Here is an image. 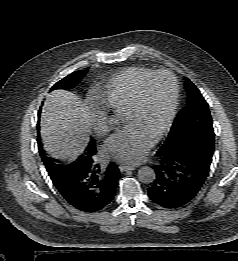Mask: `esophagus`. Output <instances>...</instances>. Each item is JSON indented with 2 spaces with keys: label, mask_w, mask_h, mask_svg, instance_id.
<instances>
[{
  "label": "esophagus",
  "mask_w": 238,
  "mask_h": 261,
  "mask_svg": "<svg viewBox=\"0 0 238 261\" xmlns=\"http://www.w3.org/2000/svg\"><path fill=\"white\" fill-rule=\"evenodd\" d=\"M119 169L121 172H124V171H128V170H134L135 169V166L133 165H128V164H121L119 166Z\"/></svg>",
  "instance_id": "34e87169"
}]
</instances>
